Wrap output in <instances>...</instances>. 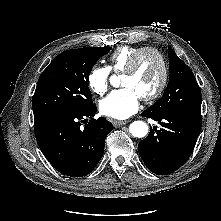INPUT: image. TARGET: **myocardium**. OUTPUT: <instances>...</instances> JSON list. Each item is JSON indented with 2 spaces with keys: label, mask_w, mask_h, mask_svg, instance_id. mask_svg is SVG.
Listing matches in <instances>:
<instances>
[{
  "label": "myocardium",
  "mask_w": 221,
  "mask_h": 221,
  "mask_svg": "<svg viewBox=\"0 0 221 221\" xmlns=\"http://www.w3.org/2000/svg\"><path fill=\"white\" fill-rule=\"evenodd\" d=\"M145 53H153L155 54L158 59L160 60L161 63V68H162V77L160 80V83L158 84L157 88L150 94L143 96L142 100L143 101H152L156 98H158L162 92L164 91L167 82H168V77H169V70H168V64L166 61L165 56L163 53L158 50L157 48L154 47H144L138 50L130 60L127 68L124 70L123 75H132L136 72L139 61L142 57L143 54Z\"/></svg>",
  "instance_id": "1"
}]
</instances>
